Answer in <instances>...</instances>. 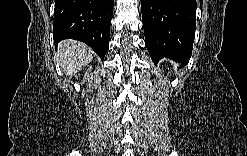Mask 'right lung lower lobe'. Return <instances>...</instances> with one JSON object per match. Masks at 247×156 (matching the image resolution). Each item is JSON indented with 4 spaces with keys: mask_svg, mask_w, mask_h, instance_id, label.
I'll list each match as a JSON object with an SVG mask.
<instances>
[{
    "mask_svg": "<svg viewBox=\"0 0 247 156\" xmlns=\"http://www.w3.org/2000/svg\"><path fill=\"white\" fill-rule=\"evenodd\" d=\"M114 0H56L53 37L89 45L103 60L109 46Z\"/></svg>",
    "mask_w": 247,
    "mask_h": 156,
    "instance_id": "right-lung-lower-lobe-1",
    "label": "right lung lower lobe"
}]
</instances>
